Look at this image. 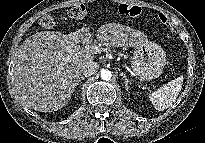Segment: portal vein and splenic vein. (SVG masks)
I'll return each mask as SVG.
<instances>
[{
  "label": "portal vein and splenic vein",
  "mask_w": 205,
  "mask_h": 143,
  "mask_svg": "<svg viewBox=\"0 0 205 143\" xmlns=\"http://www.w3.org/2000/svg\"><path fill=\"white\" fill-rule=\"evenodd\" d=\"M85 49L89 50L91 53L97 54L101 53V48L96 45H86ZM71 56L67 57V60H70Z\"/></svg>",
  "instance_id": "18ae733b"
}]
</instances>
